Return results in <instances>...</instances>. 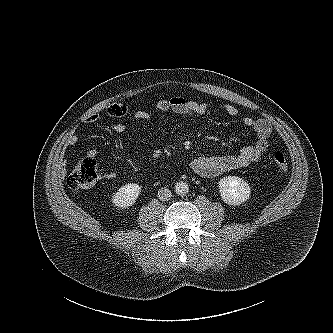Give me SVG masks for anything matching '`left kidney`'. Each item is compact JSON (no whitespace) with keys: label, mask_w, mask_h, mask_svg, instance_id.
I'll return each instance as SVG.
<instances>
[{"label":"left kidney","mask_w":333,"mask_h":333,"mask_svg":"<svg viewBox=\"0 0 333 333\" xmlns=\"http://www.w3.org/2000/svg\"><path fill=\"white\" fill-rule=\"evenodd\" d=\"M219 191L222 200L229 205H240L250 198V187L247 182L236 176L220 179Z\"/></svg>","instance_id":"obj_1"}]
</instances>
